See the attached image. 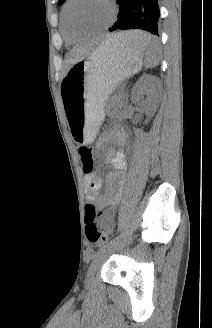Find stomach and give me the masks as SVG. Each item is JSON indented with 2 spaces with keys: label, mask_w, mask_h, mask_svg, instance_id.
I'll return each instance as SVG.
<instances>
[{
  "label": "stomach",
  "mask_w": 212,
  "mask_h": 328,
  "mask_svg": "<svg viewBox=\"0 0 212 328\" xmlns=\"http://www.w3.org/2000/svg\"><path fill=\"white\" fill-rule=\"evenodd\" d=\"M117 40L114 35L106 37L94 52L72 65L61 82L66 119L78 143L93 141L109 96L143 65L144 51L119 46Z\"/></svg>",
  "instance_id": "obj_1"
}]
</instances>
